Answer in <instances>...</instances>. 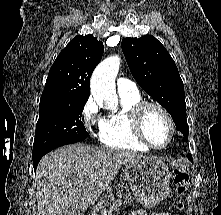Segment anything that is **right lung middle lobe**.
<instances>
[{
  "instance_id": "dd1d6c3e",
  "label": "right lung middle lobe",
  "mask_w": 221,
  "mask_h": 215,
  "mask_svg": "<svg viewBox=\"0 0 221 215\" xmlns=\"http://www.w3.org/2000/svg\"><path fill=\"white\" fill-rule=\"evenodd\" d=\"M88 99H56L40 103L32 156L88 137L81 121Z\"/></svg>"
}]
</instances>
